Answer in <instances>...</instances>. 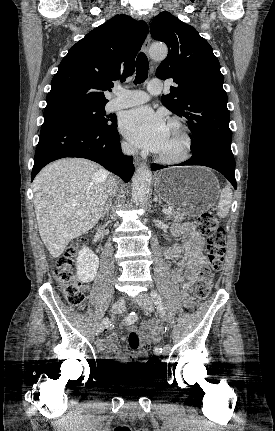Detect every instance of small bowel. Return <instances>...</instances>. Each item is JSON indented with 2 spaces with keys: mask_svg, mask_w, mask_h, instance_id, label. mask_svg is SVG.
<instances>
[{
  "mask_svg": "<svg viewBox=\"0 0 275 431\" xmlns=\"http://www.w3.org/2000/svg\"><path fill=\"white\" fill-rule=\"evenodd\" d=\"M173 233L176 236H182L183 244H174L164 248V255L169 260L179 259L176 267L173 269V277L180 283V298L185 307H192L195 303L191 293L194 283L196 282L200 270L206 264L204 256V236L198 231L193 223H184L175 225ZM161 328L157 321H148L143 325V332L140 333L142 343H157L160 339ZM118 335L115 331L105 333L98 342V350L102 354L108 352L120 356L117 346ZM142 355L144 351L140 352Z\"/></svg>",
  "mask_w": 275,
  "mask_h": 431,
  "instance_id": "small-bowel-1",
  "label": "small bowel"
}]
</instances>
